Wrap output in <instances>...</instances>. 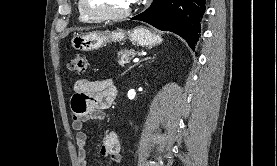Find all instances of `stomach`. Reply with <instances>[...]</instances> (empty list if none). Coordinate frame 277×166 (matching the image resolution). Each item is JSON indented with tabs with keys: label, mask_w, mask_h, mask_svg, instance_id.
<instances>
[{
	"label": "stomach",
	"mask_w": 277,
	"mask_h": 166,
	"mask_svg": "<svg viewBox=\"0 0 277 166\" xmlns=\"http://www.w3.org/2000/svg\"><path fill=\"white\" fill-rule=\"evenodd\" d=\"M128 38L136 45L142 47H154L162 42L160 36L151 30L139 26L126 33L117 31H92L73 36L71 43L74 49L81 51H92L112 42H121Z\"/></svg>",
	"instance_id": "1"
}]
</instances>
